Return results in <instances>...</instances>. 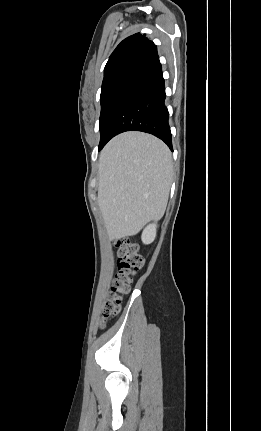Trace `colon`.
<instances>
[{"label": "colon", "instance_id": "obj_1", "mask_svg": "<svg viewBox=\"0 0 261 431\" xmlns=\"http://www.w3.org/2000/svg\"><path fill=\"white\" fill-rule=\"evenodd\" d=\"M118 256V271L101 317L103 326L107 319L115 316L120 310L122 296L130 290L133 275L143 266L144 259L139 253L138 245L124 238L114 244Z\"/></svg>", "mask_w": 261, "mask_h": 431}]
</instances>
